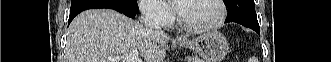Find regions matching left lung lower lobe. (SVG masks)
Instances as JSON below:
<instances>
[{
	"label": "left lung lower lobe",
	"mask_w": 331,
	"mask_h": 62,
	"mask_svg": "<svg viewBox=\"0 0 331 62\" xmlns=\"http://www.w3.org/2000/svg\"><path fill=\"white\" fill-rule=\"evenodd\" d=\"M230 22L239 23L245 27L251 28L252 30H254L256 33H258L260 35L258 22L247 21V20H234V21H230Z\"/></svg>",
	"instance_id": "1"
}]
</instances>
